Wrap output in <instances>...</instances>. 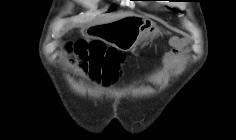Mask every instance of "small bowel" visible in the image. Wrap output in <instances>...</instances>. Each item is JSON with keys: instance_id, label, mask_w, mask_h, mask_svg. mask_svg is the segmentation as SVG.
Returning <instances> with one entry per match:
<instances>
[{"instance_id": "c3829d8e", "label": "small bowel", "mask_w": 236, "mask_h": 140, "mask_svg": "<svg viewBox=\"0 0 236 140\" xmlns=\"http://www.w3.org/2000/svg\"><path fill=\"white\" fill-rule=\"evenodd\" d=\"M180 44L181 43L178 40L173 41L174 48L169 53H167L162 59L163 68L169 69L172 65H174L180 60Z\"/></svg>"}]
</instances>
